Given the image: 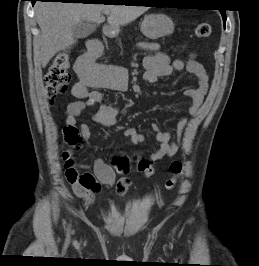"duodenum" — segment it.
I'll list each match as a JSON object with an SVG mask.
<instances>
[{
    "mask_svg": "<svg viewBox=\"0 0 259 266\" xmlns=\"http://www.w3.org/2000/svg\"><path fill=\"white\" fill-rule=\"evenodd\" d=\"M91 50L95 53H98L100 51V46L98 44H94L92 45Z\"/></svg>",
    "mask_w": 259,
    "mask_h": 266,
    "instance_id": "obj_1",
    "label": "duodenum"
}]
</instances>
